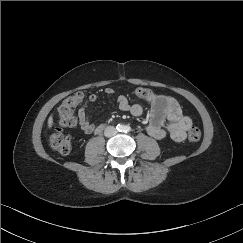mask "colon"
<instances>
[{
    "mask_svg": "<svg viewBox=\"0 0 243 243\" xmlns=\"http://www.w3.org/2000/svg\"><path fill=\"white\" fill-rule=\"evenodd\" d=\"M83 99L82 93H76L64 99L58 107L60 123L66 127L76 126L77 120L74 115V107ZM190 141L196 142L201 138V131L198 127H191L188 132ZM50 146L61 154H68L72 149L71 140L64 135L59 127H55L49 135Z\"/></svg>",
    "mask_w": 243,
    "mask_h": 243,
    "instance_id": "colon-1",
    "label": "colon"
}]
</instances>
